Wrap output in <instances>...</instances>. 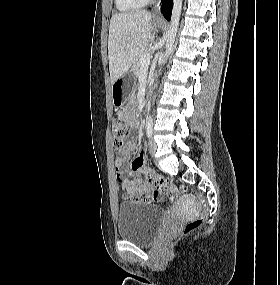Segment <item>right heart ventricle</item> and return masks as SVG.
<instances>
[{"label":"right heart ventricle","instance_id":"e07e8e85","mask_svg":"<svg viewBox=\"0 0 280 285\" xmlns=\"http://www.w3.org/2000/svg\"><path fill=\"white\" fill-rule=\"evenodd\" d=\"M144 0H115V6L120 12H132L141 8Z\"/></svg>","mask_w":280,"mask_h":285}]
</instances>
